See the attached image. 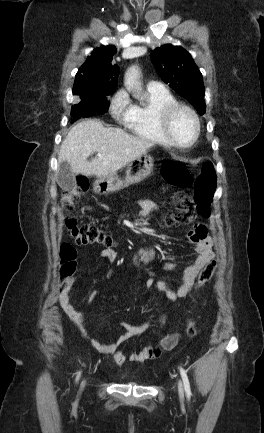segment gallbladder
<instances>
[{"mask_svg": "<svg viewBox=\"0 0 264 433\" xmlns=\"http://www.w3.org/2000/svg\"><path fill=\"white\" fill-rule=\"evenodd\" d=\"M57 183L63 190L71 189L75 184V174L72 172L68 162L59 163L57 172Z\"/></svg>", "mask_w": 264, "mask_h": 433, "instance_id": "1", "label": "gallbladder"}]
</instances>
